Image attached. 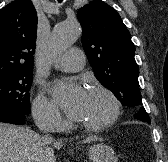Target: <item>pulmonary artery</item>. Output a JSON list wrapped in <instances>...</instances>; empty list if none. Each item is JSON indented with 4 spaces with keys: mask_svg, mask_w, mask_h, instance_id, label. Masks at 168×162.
I'll return each mask as SVG.
<instances>
[{
    "mask_svg": "<svg viewBox=\"0 0 168 162\" xmlns=\"http://www.w3.org/2000/svg\"><path fill=\"white\" fill-rule=\"evenodd\" d=\"M85 65L84 52L79 48H71L55 63V67L66 72H77Z\"/></svg>",
    "mask_w": 168,
    "mask_h": 162,
    "instance_id": "obj_1",
    "label": "pulmonary artery"
}]
</instances>
